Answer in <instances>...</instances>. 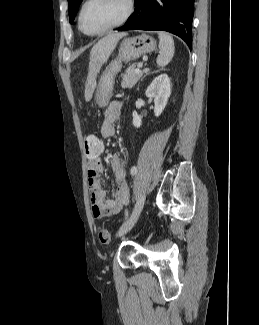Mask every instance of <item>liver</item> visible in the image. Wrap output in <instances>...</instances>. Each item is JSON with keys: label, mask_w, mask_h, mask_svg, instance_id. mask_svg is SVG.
<instances>
[{"label": "liver", "mask_w": 259, "mask_h": 325, "mask_svg": "<svg viewBox=\"0 0 259 325\" xmlns=\"http://www.w3.org/2000/svg\"><path fill=\"white\" fill-rule=\"evenodd\" d=\"M127 33L121 32H113L100 39L91 49L90 52V77L92 81H88L85 90V99L86 101H90L92 98V94L95 88V82L93 81V77L100 70L101 66L108 60L109 56L115 49L118 41L126 36Z\"/></svg>", "instance_id": "1"}]
</instances>
